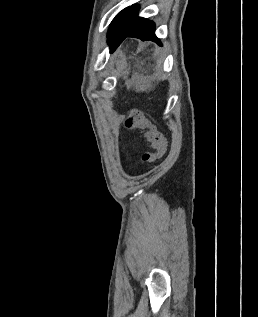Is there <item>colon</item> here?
I'll return each instance as SVG.
<instances>
[{
	"instance_id": "colon-1",
	"label": "colon",
	"mask_w": 258,
	"mask_h": 317,
	"mask_svg": "<svg viewBox=\"0 0 258 317\" xmlns=\"http://www.w3.org/2000/svg\"><path fill=\"white\" fill-rule=\"evenodd\" d=\"M124 124L127 129L141 132L150 143L152 150L143 154L145 162L152 163L164 156L167 150L165 137L141 112L137 110L131 111L127 115Z\"/></svg>"
}]
</instances>
